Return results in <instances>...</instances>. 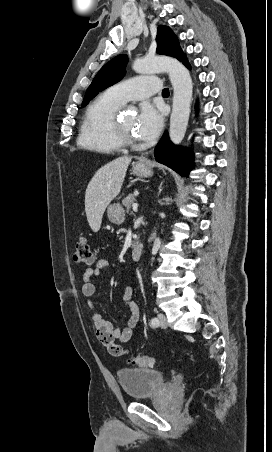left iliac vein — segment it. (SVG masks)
<instances>
[{"label": "left iliac vein", "instance_id": "4c4485c4", "mask_svg": "<svg viewBox=\"0 0 272 452\" xmlns=\"http://www.w3.org/2000/svg\"><path fill=\"white\" fill-rule=\"evenodd\" d=\"M158 319H159V326L161 328H167L168 327V323H167V319L166 316L162 313L158 314Z\"/></svg>", "mask_w": 272, "mask_h": 452}]
</instances>
